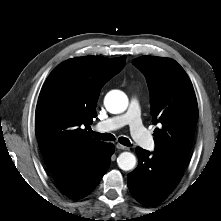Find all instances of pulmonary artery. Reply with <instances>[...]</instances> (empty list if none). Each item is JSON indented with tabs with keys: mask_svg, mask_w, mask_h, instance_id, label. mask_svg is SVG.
<instances>
[{
	"mask_svg": "<svg viewBox=\"0 0 221 221\" xmlns=\"http://www.w3.org/2000/svg\"><path fill=\"white\" fill-rule=\"evenodd\" d=\"M125 125L130 127V132L137 143L146 150H154L155 142L141 121L140 106L136 98L131 99L127 112L99 122L97 124V129L107 132Z\"/></svg>",
	"mask_w": 221,
	"mask_h": 221,
	"instance_id": "pulmonary-artery-1",
	"label": "pulmonary artery"
}]
</instances>
